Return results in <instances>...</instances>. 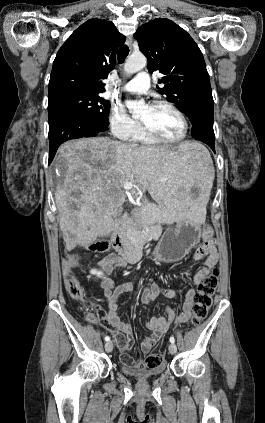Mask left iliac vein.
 I'll list each match as a JSON object with an SVG mask.
<instances>
[{"instance_id": "1", "label": "left iliac vein", "mask_w": 265, "mask_h": 423, "mask_svg": "<svg viewBox=\"0 0 265 423\" xmlns=\"http://www.w3.org/2000/svg\"><path fill=\"white\" fill-rule=\"evenodd\" d=\"M169 352H170L171 354H175V353L177 352V347H176V345H175L174 343H171V344L169 345Z\"/></svg>"}]
</instances>
